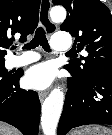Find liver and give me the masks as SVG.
Segmentation results:
<instances>
[{
    "mask_svg": "<svg viewBox=\"0 0 112 135\" xmlns=\"http://www.w3.org/2000/svg\"><path fill=\"white\" fill-rule=\"evenodd\" d=\"M0 135H21V133L16 128L0 122Z\"/></svg>",
    "mask_w": 112,
    "mask_h": 135,
    "instance_id": "obj_1",
    "label": "liver"
}]
</instances>
